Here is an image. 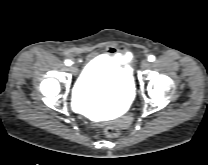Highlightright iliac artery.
<instances>
[{
    "mask_svg": "<svg viewBox=\"0 0 208 165\" xmlns=\"http://www.w3.org/2000/svg\"><path fill=\"white\" fill-rule=\"evenodd\" d=\"M65 64H66L67 66H70V65L72 64V62H71L70 60H66V61H65Z\"/></svg>",
    "mask_w": 208,
    "mask_h": 165,
    "instance_id": "82829eb1",
    "label": "right iliac artery"
}]
</instances>
